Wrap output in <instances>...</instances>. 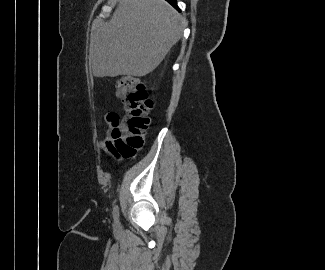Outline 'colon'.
<instances>
[{"label": "colon", "instance_id": "1", "mask_svg": "<svg viewBox=\"0 0 325 270\" xmlns=\"http://www.w3.org/2000/svg\"><path fill=\"white\" fill-rule=\"evenodd\" d=\"M116 94L121 101L124 115L119 118L110 136L118 152L123 157L129 158L133 157L144 144L153 102L145 85L132 76L118 79Z\"/></svg>", "mask_w": 325, "mask_h": 270}]
</instances>
